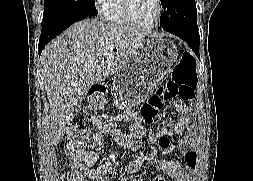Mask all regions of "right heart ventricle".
<instances>
[{
	"label": "right heart ventricle",
	"instance_id": "right-heart-ventricle-1",
	"mask_svg": "<svg viewBox=\"0 0 253 181\" xmlns=\"http://www.w3.org/2000/svg\"><path fill=\"white\" fill-rule=\"evenodd\" d=\"M105 17L106 20L112 24H126L127 22L124 18L122 10V0H111Z\"/></svg>",
	"mask_w": 253,
	"mask_h": 181
}]
</instances>
